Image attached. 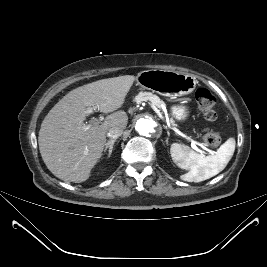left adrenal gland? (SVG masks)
I'll return each mask as SVG.
<instances>
[{
	"label": "left adrenal gland",
	"mask_w": 267,
	"mask_h": 267,
	"mask_svg": "<svg viewBox=\"0 0 267 267\" xmlns=\"http://www.w3.org/2000/svg\"><path fill=\"white\" fill-rule=\"evenodd\" d=\"M167 135L169 136V132L167 131ZM166 143L168 144V138L166 139Z\"/></svg>",
	"instance_id": "obj_1"
}]
</instances>
